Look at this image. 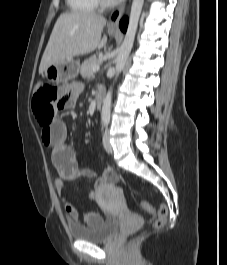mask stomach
<instances>
[{"instance_id":"stomach-1","label":"stomach","mask_w":227,"mask_h":265,"mask_svg":"<svg viewBox=\"0 0 227 265\" xmlns=\"http://www.w3.org/2000/svg\"><path fill=\"white\" fill-rule=\"evenodd\" d=\"M79 68V62L68 60L60 64L50 65L44 71V77L52 83H64V81L76 78L79 73Z\"/></svg>"}]
</instances>
